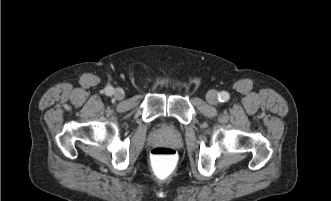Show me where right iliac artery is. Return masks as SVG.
<instances>
[{
    "label": "right iliac artery",
    "mask_w": 331,
    "mask_h": 201,
    "mask_svg": "<svg viewBox=\"0 0 331 201\" xmlns=\"http://www.w3.org/2000/svg\"><path fill=\"white\" fill-rule=\"evenodd\" d=\"M105 93H106V95L111 96L114 94V89L112 87H107L105 89Z\"/></svg>",
    "instance_id": "1"
}]
</instances>
